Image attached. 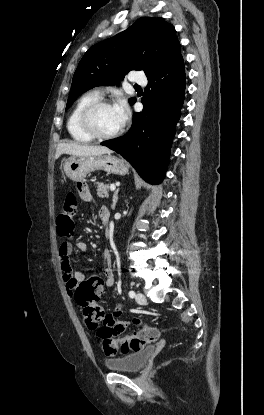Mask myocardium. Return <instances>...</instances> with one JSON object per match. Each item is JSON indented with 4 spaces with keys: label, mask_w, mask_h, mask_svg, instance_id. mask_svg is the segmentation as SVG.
Returning a JSON list of instances; mask_svg holds the SVG:
<instances>
[{
    "label": "myocardium",
    "mask_w": 264,
    "mask_h": 415,
    "mask_svg": "<svg viewBox=\"0 0 264 415\" xmlns=\"http://www.w3.org/2000/svg\"><path fill=\"white\" fill-rule=\"evenodd\" d=\"M104 106H113V103L109 100L99 99L87 105L80 113V116H79L80 127L87 135H89L93 139H97V140L114 139V138L119 137L124 131L125 122H122L120 128L111 134H101L98 132L93 122V116L100 108Z\"/></svg>",
    "instance_id": "myocardium-1"
}]
</instances>
